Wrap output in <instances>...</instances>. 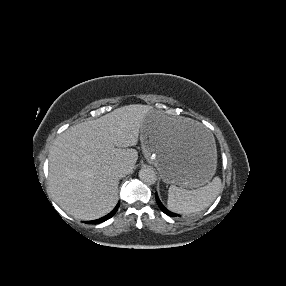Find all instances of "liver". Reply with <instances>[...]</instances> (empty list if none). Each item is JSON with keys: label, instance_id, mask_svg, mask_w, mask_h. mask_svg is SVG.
<instances>
[{"label": "liver", "instance_id": "liver-1", "mask_svg": "<svg viewBox=\"0 0 286 286\" xmlns=\"http://www.w3.org/2000/svg\"><path fill=\"white\" fill-rule=\"evenodd\" d=\"M150 113L159 115L180 138L207 134L192 119L168 117L141 104L123 106L96 120L69 127L56 138L48 157L50 192L66 213L93 220L115 207L119 178L113 168L124 165L127 174L132 172L138 159L133 147Z\"/></svg>", "mask_w": 286, "mask_h": 286}]
</instances>
